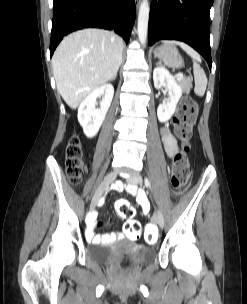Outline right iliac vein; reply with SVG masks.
I'll return each mask as SVG.
<instances>
[{
    "mask_svg": "<svg viewBox=\"0 0 247 304\" xmlns=\"http://www.w3.org/2000/svg\"><path fill=\"white\" fill-rule=\"evenodd\" d=\"M117 173L116 172H111L109 173L95 192L92 201H91V210L93 211L99 202L100 198L104 194V192L109 188V186L112 184V182L116 179Z\"/></svg>",
    "mask_w": 247,
    "mask_h": 304,
    "instance_id": "obj_1",
    "label": "right iliac vein"
}]
</instances>
